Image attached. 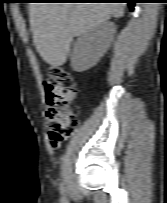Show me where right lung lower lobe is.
<instances>
[{"label":"right lung lower lobe","instance_id":"obj_1","mask_svg":"<svg viewBox=\"0 0 167 203\" xmlns=\"http://www.w3.org/2000/svg\"><path fill=\"white\" fill-rule=\"evenodd\" d=\"M91 1H121V2L128 3L131 11H133L134 5L136 3V0H91Z\"/></svg>","mask_w":167,"mask_h":203}]
</instances>
